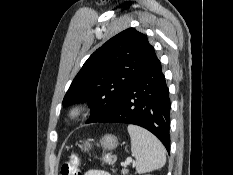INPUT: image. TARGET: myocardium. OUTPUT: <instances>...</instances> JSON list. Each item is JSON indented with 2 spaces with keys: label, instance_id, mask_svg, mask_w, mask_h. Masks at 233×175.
Returning a JSON list of instances; mask_svg holds the SVG:
<instances>
[{
  "label": "myocardium",
  "instance_id": "f54148a6",
  "mask_svg": "<svg viewBox=\"0 0 233 175\" xmlns=\"http://www.w3.org/2000/svg\"><path fill=\"white\" fill-rule=\"evenodd\" d=\"M86 105L84 103H78L74 105L68 112V120L75 121L79 119L85 112Z\"/></svg>",
  "mask_w": 233,
  "mask_h": 175
}]
</instances>
